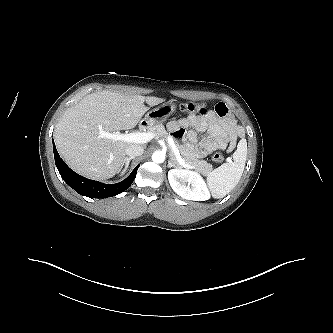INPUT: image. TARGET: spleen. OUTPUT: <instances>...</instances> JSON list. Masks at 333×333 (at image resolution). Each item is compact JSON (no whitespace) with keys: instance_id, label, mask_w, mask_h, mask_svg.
Masks as SVG:
<instances>
[{"instance_id":"3e777b00","label":"spleen","mask_w":333,"mask_h":333,"mask_svg":"<svg viewBox=\"0 0 333 333\" xmlns=\"http://www.w3.org/2000/svg\"><path fill=\"white\" fill-rule=\"evenodd\" d=\"M247 158V142L241 139L232 161L223 163L207 175L208 185L214 198H223L235 188L241 179Z\"/></svg>"}]
</instances>
